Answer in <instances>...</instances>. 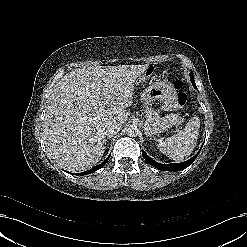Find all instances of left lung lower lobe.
Wrapping results in <instances>:
<instances>
[{
    "mask_svg": "<svg viewBox=\"0 0 247 247\" xmlns=\"http://www.w3.org/2000/svg\"><path fill=\"white\" fill-rule=\"evenodd\" d=\"M191 82H192L193 87L195 89H197L194 79H191ZM199 152L194 157H192L191 159H189V160H187L185 162L173 163V164H161V163H158V162L154 161L152 158H150L143 150H142V155H143L144 159L150 165L154 166L155 168H157L159 170H163V171H180V170H183V169L187 168L189 165H191L193 163V161L196 159V157L198 156Z\"/></svg>",
    "mask_w": 247,
    "mask_h": 247,
    "instance_id": "left-lung-lower-lobe-1",
    "label": "left lung lower lobe"
}]
</instances>
